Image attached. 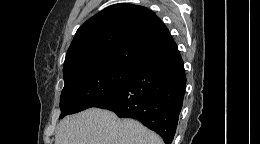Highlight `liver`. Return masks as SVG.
<instances>
[{"instance_id": "liver-1", "label": "liver", "mask_w": 260, "mask_h": 144, "mask_svg": "<svg viewBox=\"0 0 260 144\" xmlns=\"http://www.w3.org/2000/svg\"><path fill=\"white\" fill-rule=\"evenodd\" d=\"M55 144H163V141L136 120H120L109 110L90 108L59 123Z\"/></svg>"}]
</instances>
